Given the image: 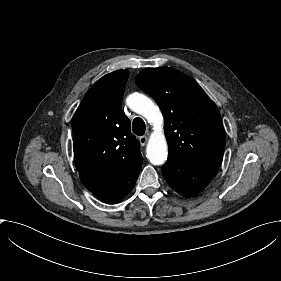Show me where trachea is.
<instances>
[{
	"instance_id": "1",
	"label": "trachea",
	"mask_w": 281,
	"mask_h": 281,
	"mask_svg": "<svg viewBox=\"0 0 281 281\" xmlns=\"http://www.w3.org/2000/svg\"><path fill=\"white\" fill-rule=\"evenodd\" d=\"M132 129L136 135L142 136L146 131V125L141 118H135L133 120Z\"/></svg>"
}]
</instances>
